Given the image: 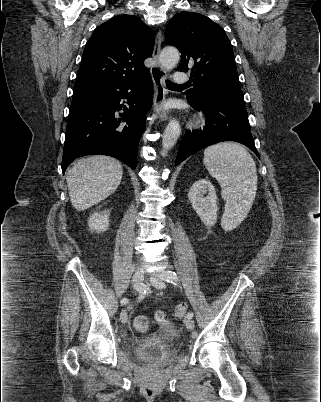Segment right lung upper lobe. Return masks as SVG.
Listing matches in <instances>:
<instances>
[{"label":"right lung upper lobe","mask_w":321,"mask_h":402,"mask_svg":"<svg viewBox=\"0 0 321 402\" xmlns=\"http://www.w3.org/2000/svg\"><path fill=\"white\" fill-rule=\"evenodd\" d=\"M154 48V35L141 19L119 15L98 26L88 40L75 87L125 82L150 74L144 60Z\"/></svg>","instance_id":"cb5924a9"}]
</instances>
